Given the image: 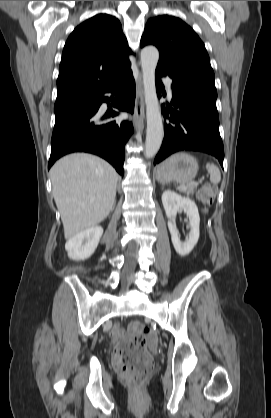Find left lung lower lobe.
<instances>
[{
	"mask_svg": "<svg viewBox=\"0 0 271 418\" xmlns=\"http://www.w3.org/2000/svg\"><path fill=\"white\" fill-rule=\"evenodd\" d=\"M167 74L156 69L157 93L164 89L160 80ZM173 98L170 107L164 108V139L154 165L169 155L182 150L201 151L218 158L223 167L224 147L219 133V117L216 108L217 92L205 87L177 81L172 83Z\"/></svg>",
	"mask_w": 271,
	"mask_h": 418,
	"instance_id": "1",
	"label": "left lung lower lobe"
}]
</instances>
